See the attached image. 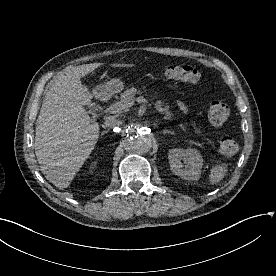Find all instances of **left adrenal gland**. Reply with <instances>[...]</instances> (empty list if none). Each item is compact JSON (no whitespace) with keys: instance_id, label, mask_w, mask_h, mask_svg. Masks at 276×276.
I'll return each mask as SVG.
<instances>
[{"instance_id":"a2214340","label":"left adrenal gland","mask_w":276,"mask_h":276,"mask_svg":"<svg viewBox=\"0 0 276 276\" xmlns=\"http://www.w3.org/2000/svg\"><path fill=\"white\" fill-rule=\"evenodd\" d=\"M162 133L163 134L170 133V134L174 135V132H172L171 130H163Z\"/></svg>"}]
</instances>
